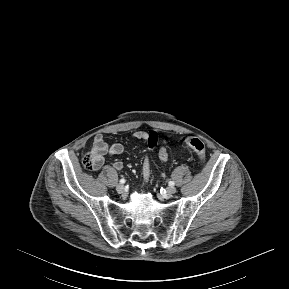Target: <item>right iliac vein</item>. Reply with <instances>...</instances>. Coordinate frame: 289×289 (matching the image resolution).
<instances>
[{"label":"right iliac vein","instance_id":"63e3f726","mask_svg":"<svg viewBox=\"0 0 289 289\" xmlns=\"http://www.w3.org/2000/svg\"><path fill=\"white\" fill-rule=\"evenodd\" d=\"M116 190H117L118 193L121 194V193H123L125 191V187H124L123 184H119V185L116 186Z\"/></svg>","mask_w":289,"mask_h":289}]
</instances>
